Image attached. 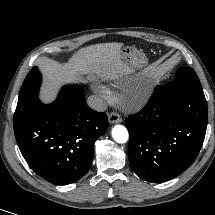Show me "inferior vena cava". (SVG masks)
<instances>
[{
    "label": "inferior vena cava",
    "instance_id": "inferior-vena-cava-1",
    "mask_svg": "<svg viewBox=\"0 0 215 215\" xmlns=\"http://www.w3.org/2000/svg\"><path fill=\"white\" fill-rule=\"evenodd\" d=\"M87 104L91 108H93V109H95L97 111L103 112V111H106V109H107L106 102L101 97H99L97 95L89 96L88 99H87Z\"/></svg>",
    "mask_w": 215,
    "mask_h": 215
}]
</instances>
